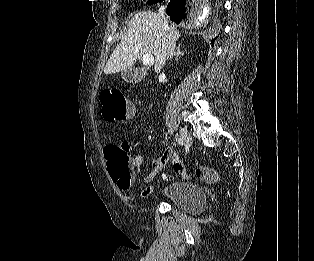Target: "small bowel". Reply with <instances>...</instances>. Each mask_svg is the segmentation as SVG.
<instances>
[{
	"label": "small bowel",
	"instance_id": "obj_1",
	"mask_svg": "<svg viewBox=\"0 0 314 261\" xmlns=\"http://www.w3.org/2000/svg\"><path fill=\"white\" fill-rule=\"evenodd\" d=\"M134 112V109L132 108V113ZM171 161L173 164V170L176 173L183 174L184 169L183 165L181 163V160L179 156L172 150V149H166L163 156L160 158H151V165L152 170L143 178V182L146 184H149L154 180V178L157 176V174L165 167V165ZM132 162L134 169L136 172H140L142 163H143V157L139 154L132 157ZM162 179L165 181H169L172 179V175L169 173H163ZM154 186L148 185L144 189L141 190L140 195L142 197H148L153 192Z\"/></svg>",
	"mask_w": 314,
	"mask_h": 261
}]
</instances>
